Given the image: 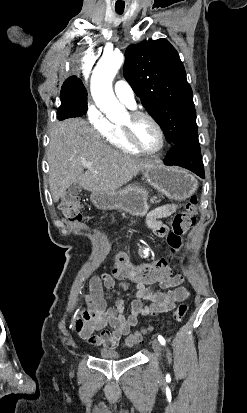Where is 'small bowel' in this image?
<instances>
[{
	"label": "small bowel",
	"mask_w": 247,
	"mask_h": 413,
	"mask_svg": "<svg viewBox=\"0 0 247 413\" xmlns=\"http://www.w3.org/2000/svg\"><path fill=\"white\" fill-rule=\"evenodd\" d=\"M151 202L158 205L147 215V224L156 234L163 236L167 232V227L162 219L174 214L180 206L159 204L157 198H153ZM119 256L127 255L121 253ZM124 281L123 274H116L114 278L109 273L93 277L90 282V291L82 299V306L79 309L81 317L71 321L70 329L91 345L115 348L121 338L128 335L131 329L138 324L140 317L164 314L173 310L178 303L190 298V292L181 286L183 282L181 275L160 277V282H154L159 283L160 288L155 290L139 289V282ZM132 287L135 291V298L130 303L129 314L125 313L126 303L123 299L116 300L114 306L107 305L110 292L129 291ZM104 288L108 291L107 293L104 292ZM143 301H148L149 304L145 305ZM96 331H100V335H95Z\"/></svg>",
	"instance_id": "1"
}]
</instances>
